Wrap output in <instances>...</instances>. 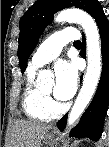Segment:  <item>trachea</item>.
Masks as SVG:
<instances>
[{"instance_id": "1", "label": "trachea", "mask_w": 109, "mask_h": 147, "mask_svg": "<svg viewBox=\"0 0 109 147\" xmlns=\"http://www.w3.org/2000/svg\"><path fill=\"white\" fill-rule=\"evenodd\" d=\"M79 44H81V42H80V41H78V43H74V45H79Z\"/></svg>"}]
</instances>
